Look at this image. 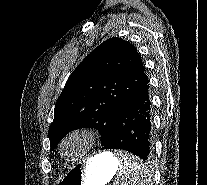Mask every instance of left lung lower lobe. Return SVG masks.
<instances>
[{
  "mask_svg": "<svg viewBox=\"0 0 207 185\" xmlns=\"http://www.w3.org/2000/svg\"><path fill=\"white\" fill-rule=\"evenodd\" d=\"M102 149L125 150L143 160L152 155L149 81L120 109Z\"/></svg>",
  "mask_w": 207,
  "mask_h": 185,
  "instance_id": "1",
  "label": "left lung lower lobe"
}]
</instances>
